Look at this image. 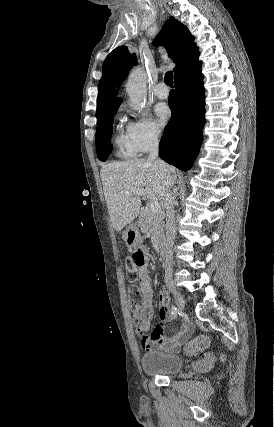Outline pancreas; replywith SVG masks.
I'll use <instances>...</instances> for the list:
<instances>
[{
    "label": "pancreas",
    "instance_id": "cf45deb5",
    "mask_svg": "<svg viewBox=\"0 0 274 427\" xmlns=\"http://www.w3.org/2000/svg\"><path fill=\"white\" fill-rule=\"evenodd\" d=\"M164 217L165 212L152 214L149 208H145L139 215V227L143 233H153L155 237H164Z\"/></svg>",
    "mask_w": 274,
    "mask_h": 427
}]
</instances>
